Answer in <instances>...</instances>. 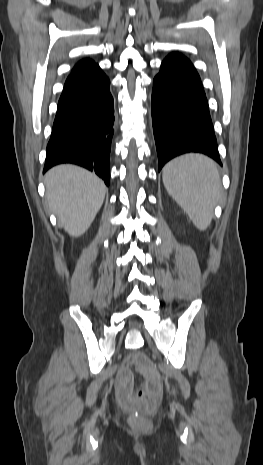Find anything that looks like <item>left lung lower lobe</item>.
<instances>
[{"label":"left lung lower lobe","instance_id":"obj_1","mask_svg":"<svg viewBox=\"0 0 263 465\" xmlns=\"http://www.w3.org/2000/svg\"><path fill=\"white\" fill-rule=\"evenodd\" d=\"M151 110L159 171L187 152L206 154L221 165L200 77L183 55L173 53L163 60L153 81Z\"/></svg>","mask_w":263,"mask_h":465}]
</instances>
